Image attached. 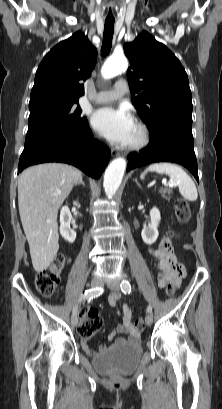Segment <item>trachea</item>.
Listing matches in <instances>:
<instances>
[{
    "label": "trachea",
    "mask_w": 222,
    "mask_h": 409,
    "mask_svg": "<svg viewBox=\"0 0 222 409\" xmlns=\"http://www.w3.org/2000/svg\"><path fill=\"white\" fill-rule=\"evenodd\" d=\"M114 33V20L105 21L104 33H103V42L101 47V56L106 57L112 47V39Z\"/></svg>",
    "instance_id": "1"
}]
</instances>
